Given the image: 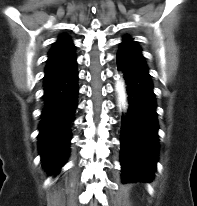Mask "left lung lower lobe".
Listing matches in <instances>:
<instances>
[{
  "label": "left lung lower lobe",
  "mask_w": 197,
  "mask_h": 206,
  "mask_svg": "<svg viewBox=\"0 0 197 206\" xmlns=\"http://www.w3.org/2000/svg\"><path fill=\"white\" fill-rule=\"evenodd\" d=\"M117 66L126 81L129 108L121 119V165L124 182L154 177L158 160L155 94L145 61L120 45Z\"/></svg>",
  "instance_id": "0a47b994"
}]
</instances>
